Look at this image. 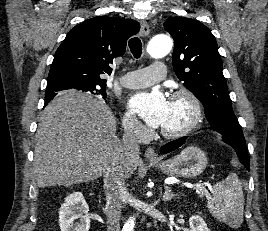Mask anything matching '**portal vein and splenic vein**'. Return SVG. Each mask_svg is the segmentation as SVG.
Listing matches in <instances>:
<instances>
[{"label": "portal vein and splenic vein", "instance_id": "18ae733b", "mask_svg": "<svg viewBox=\"0 0 268 231\" xmlns=\"http://www.w3.org/2000/svg\"><path fill=\"white\" fill-rule=\"evenodd\" d=\"M188 188H191V189H196V190H199V191H203L205 192V194H208L207 190L204 188L203 185L201 184H197V185H187Z\"/></svg>", "mask_w": 268, "mask_h": 231}]
</instances>
